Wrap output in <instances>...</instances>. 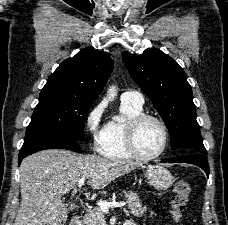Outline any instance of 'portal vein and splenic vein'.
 I'll list each match as a JSON object with an SVG mask.
<instances>
[{"instance_id": "1", "label": "portal vein and splenic vein", "mask_w": 228, "mask_h": 225, "mask_svg": "<svg viewBox=\"0 0 228 225\" xmlns=\"http://www.w3.org/2000/svg\"><path fill=\"white\" fill-rule=\"evenodd\" d=\"M85 179H86V177H82V179H79L77 188L74 189L75 193L82 192V189L84 188L83 183H84ZM97 205H98V207H100L101 211H103V213H105V211H109V209H111V207H125L126 203H115V201H113V203H106V201H98Z\"/></svg>"}]
</instances>
